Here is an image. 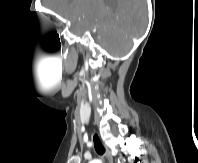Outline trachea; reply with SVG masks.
I'll return each mask as SVG.
<instances>
[{
	"label": "trachea",
	"mask_w": 198,
	"mask_h": 163,
	"mask_svg": "<svg viewBox=\"0 0 198 163\" xmlns=\"http://www.w3.org/2000/svg\"><path fill=\"white\" fill-rule=\"evenodd\" d=\"M93 141H94V147H95L96 152L99 155H103L105 153V148L103 147L98 135H94Z\"/></svg>",
	"instance_id": "obj_1"
}]
</instances>
